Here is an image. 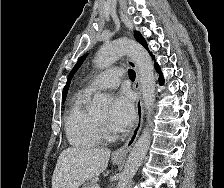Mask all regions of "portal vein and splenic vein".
Listing matches in <instances>:
<instances>
[{
  "mask_svg": "<svg viewBox=\"0 0 224 188\" xmlns=\"http://www.w3.org/2000/svg\"><path fill=\"white\" fill-rule=\"evenodd\" d=\"M92 188H100V186H98V185H95V186H93Z\"/></svg>",
  "mask_w": 224,
  "mask_h": 188,
  "instance_id": "portal-vein-and-splenic-vein-1",
  "label": "portal vein and splenic vein"
}]
</instances>
